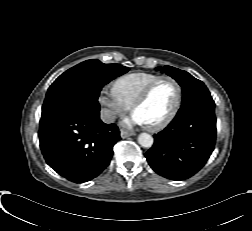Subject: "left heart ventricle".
Listing matches in <instances>:
<instances>
[{"instance_id":"1","label":"left heart ventricle","mask_w":252,"mask_h":231,"mask_svg":"<svg viewBox=\"0 0 252 231\" xmlns=\"http://www.w3.org/2000/svg\"><path fill=\"white\" fill-rule=\"evenodd\" d=\"M175 98V85L170 80H162L153 88L148 99L135 110V113L145 125H154L169 114Z\"/></svg>"}]
</instances>
